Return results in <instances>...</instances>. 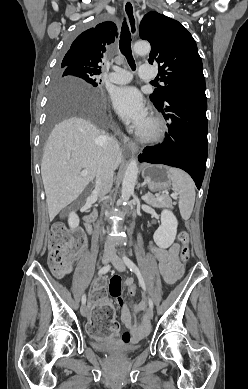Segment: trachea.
Here are the masks:
<instances>
[{
  "label": "trachea",
  "instance_id": "trachea-1",
  "mask_svg": "<svg viewBox=\"0 0 248 389\" xmlns=\"http://www.w3.org/2000/svg\"><path fill=\"white\" fill-rule=\"evenodd\" d=\"M119 48L121 53L126 57L131 69L135 70L136 65L131 51V34L126 21H124L122 24ZM152 83H155V81Z\"/></svg>",
  "mask_w": 248,
  "mask_h": 389
}]
</instances>
